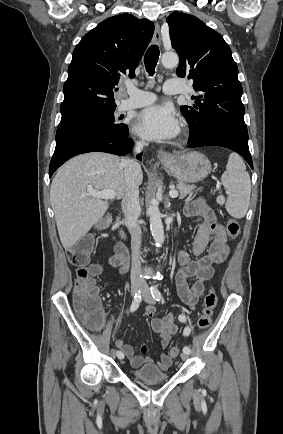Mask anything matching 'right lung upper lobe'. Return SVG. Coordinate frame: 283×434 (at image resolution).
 Wrapping results in <instances>:
<instances>
[{
    "label": "right lung upper lobe",
    "instance_id": "right-lung-upper-lobe-1",
    "mask_svg": "<svg viewBox=\"0 0 283 434\" xmlns=\"http://www.w3.org/2000/svg\"><path fill=\"white\" fill-rule=\"evenodd\" d=\"M153 32L152 22L129 14L110 17L88 32L68 68L62 118L115 109V86L122 74L135 76Z\"/></svg>",
    "mask_w": 283,
    "mask_h": 434
}]
</instances>
